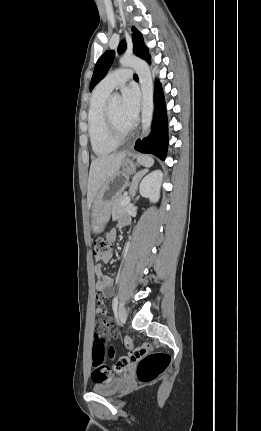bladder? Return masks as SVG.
<instances>
[{"mask_svg": "<svg viewBox=\"0 0 261 431\" xmlns=\"http://www.w3.org/2000/svg\"><path fill=\"white\" fill-rule=\"evenodd\" d=\"M125 382L126 379L124 377L101 380L94 383L92 390L99 395L110 396L120 391Z\"/></svg>", "mask_w": 261, "mask_h": 431, "instance_id": "1", "label": "bladder"}]
</instances>
